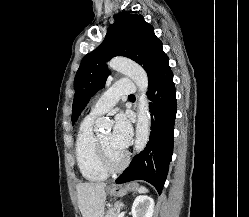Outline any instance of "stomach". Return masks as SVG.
<instances>
[{
    "instance_id": "stomach-1",
    "label": "stomach",
    "mask_w": 249,
    "mask_h": 217,
    "mask_svg": "<svg viewBox=\"0 0 249 217\" xmlns=\"http://www.w3.org/2000/svg\"><path fill=\"white\" fill-rule=\"evenodd\" d=\"M139 186L137 183H128L124 186L112 185L107 188V193L112 196L122 197L125 196L128 192H137Z\"/></svg>"
}]
</instances>
